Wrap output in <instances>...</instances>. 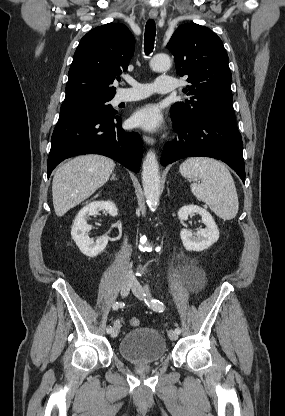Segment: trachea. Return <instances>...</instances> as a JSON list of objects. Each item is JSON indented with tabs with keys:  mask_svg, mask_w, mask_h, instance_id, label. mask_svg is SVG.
<instances>
[{
	"mask_svg": "<svg viewBox=\"0 0 285 416\" xmlns=\"http://www.w3.org/2000/svg\"><path fill=\"white\" fill-rule=\"evenodd\" d=\"M156 36V27L154 20H148L145 26V34H144V50L145 53L148 55L154 49V42Z\"/></svg>",
	"mask_w": 285,
	"mask_h": 416,
	"instance_id": "1",
	"label": "trachea"
}]
</instances>
